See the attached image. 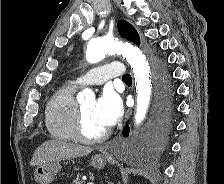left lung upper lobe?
I'll return each instance as SVG.
<instances>
[{"label":"left lung upper lobe","mask_w":224,"mask_h":184,"mask_svg":"<svg viewBox=\"0 0 224 184\" xmlns=\"http://www.w3.org/2000/svg\"><path fill=\"white\" fill-rule=\"evenodd\" d=\"M118 31L121 37L125 38L126 40L133 42L137 45L140 44V38L136 29L127 21L120 20L118 22Z\"/></svg>","instance_id":"1"}]
</instances>
